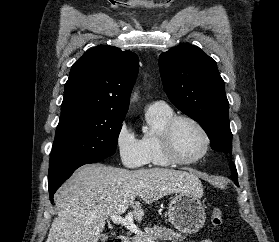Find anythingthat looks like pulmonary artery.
<instances>
[{
  "label": "pulmonary artery",
  "mask_w": 279,
  "mask_h": 242,
  "mask_svg": "<svg viewBox=\"0 0 279 242\" xmlns=\"http://www.w3.org/2000/svg\"><path fill=\"white\" fill-rule=\"evenodd\" d=\"M152 106H166V104L163 101H154Z\"/></svg>",
  "instance_id": "pulmonary-artery-1"
}]
</instances>
